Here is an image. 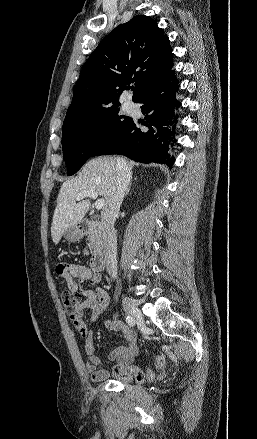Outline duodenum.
I'll return each instance as SVG.
<instances>
[{"mask_svg":"<svg viewBox=\"0 0 257 439\" xmlns=\"http://www.w3.org/2000/svg\"><path fill=\"white\" fill-rule=\"evenodd\" d=\"M78 235L84 237L89 235L94 254L91 258V268L95 272H101L105 265V257L103 255L104 238L103 225L96 220H83L78 224Z\"/></svg>","mask_w":257,"mask_h":439,"instance_id":"410a0bca","label":"duodenum"}]
</instances>
